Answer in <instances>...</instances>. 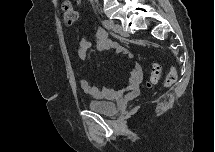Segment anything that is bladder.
Returning <instances> with one entry per match:
<instances>
[{
  "label": "bladder",
  "instance_id": "bladder-1",
  "mask_svg": "<svg viewBox=\"0 0 215 152\" xmlns=\"http://www.w3.org/2000/svg\"><path fill=\"white\" fill-rule=\"evenodd\" d=\"M87 107L89 110L105 116H114L118 110L117 105L113 102L95 101V100L89 101L87 103Z\"/></svg>",
  "mask_w": 215,
  "mask_h": 152
}]
</instances>
